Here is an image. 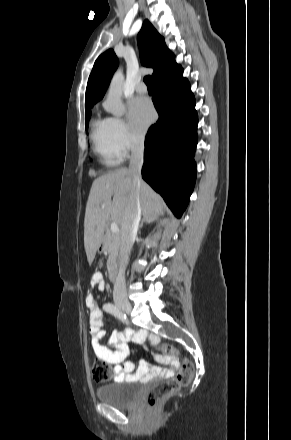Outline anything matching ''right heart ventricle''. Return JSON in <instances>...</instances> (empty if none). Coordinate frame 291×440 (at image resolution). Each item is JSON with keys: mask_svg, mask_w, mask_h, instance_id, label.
<instances>
[{"mask_svg": "<svg viewBox=\"0 0 291 440\" xmlns=\"http://www.w3.org/2000/svg\"><path fill=\"white\" fill-rule=\"evenodd\" d=\"M91 138L93 151L101 164L107 167L119 164L122 156L114 147L108 117L98 116L92 121Z\"/></svg>", "mask_w": 291, "mask_h": 440, "instance_id": "1", "label": "right heart ventricle"}]
</instances>
